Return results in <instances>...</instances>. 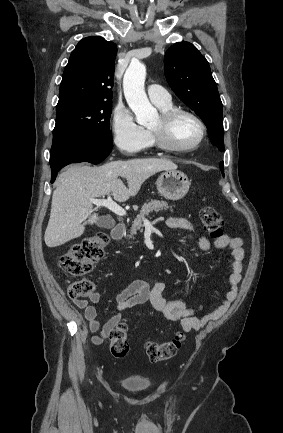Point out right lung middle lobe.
Instances as JSON below:
<instances>
[{
  "mask_svg": "<svg viewBox=\"0 0 283 433\" xmlns=\"http://www.w3.org/2000/svg\"><path fill=\"white\" fill-rule=\"evenodd\" d=\"M112 101L76 104L57 110L53 138L77 136L113 142L109 128Z\"/></svg>",
  "mask_w": 283,
  "mask_h": 433,
  "instance_id": "1",
  "label": "right lung middle lobe"
}]
</instances>
